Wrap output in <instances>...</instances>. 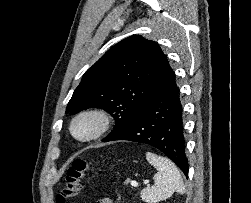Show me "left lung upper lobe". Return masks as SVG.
Here are the masks:
<instances>
[{
  "label": "left lung upper lobe",
  "mask_w": 251,
  "mask_h": 203,
  "mask_svg": "<svg viewBox=\"0 0 251 203\" xmlns=\"http://www.w3.org/2000/svg\"><path fill=\"white\" fill-rule=\"evenodd\" d=\"M170 70L160 46L139 35L110 48L83 75L66 113L102 108L116 120L114 130L102 141L121 133L152 98Z\"/></svg>",
  "instance_id": "1"
}]
</instances>
